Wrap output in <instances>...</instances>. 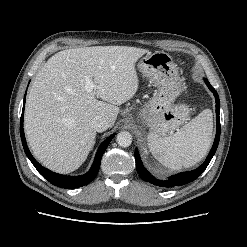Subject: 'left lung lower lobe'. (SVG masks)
I'll list each match as a JSON object with an SVG mask.
<instances>
[{
	"label": "left lung lower lobe",
	"instance_id": "0a47b994",
	"mask_svg": "<svg viewBox=\"0 0 247 247\" xmlns=\"http://www.w3.org/2000/svg\"><path fill=\"white\" fill-rule=\"evenodd\" d=\"M206 85L208 86V88L212 91V93L215 96V100H216V126H217V130H216V136H215V140L213 143V146L205 160V162L199 166L197 169L192 170V171H188V172H182L176 175H173L171 177L168 178V180H158L155 177H153L143 166L142 161L140 159V155L139 152L137 150V148L135 149V160H136V168L137 171L140 175V177L146 181V182H150L156 186H160V187H176V186H181V185H185L189 182L194 181L196 178H198L202 172L206 169V167L208 166V164L210 163L212 157L214 156L216 149L218 147L219 144V139H220V117H219V110H220V101H219V96L218 93L216 92V90L210 85V83L208 82L207 79H204Z\"/></svg>",
	"mask_w": 247,
	"mask_h": 247
}]
</instances>
